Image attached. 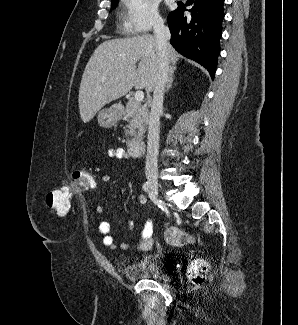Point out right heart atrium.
<instances>
[{
	"mask_svg": "<svg viewBox=\"0 0 298 325\" xmlns=\"http://www.w3.org/2000/svg\"><path fill=\"white\" fill-rule=\"evenodd\" d=\"M126 32L129 37H140V30H157L160 26L158 4L155 0H127Z\"/></svg>",
	"mask_w": 298,
	"mask_h": 325,
	"instance_id": "1",
	"label": "right heart atrium"
}]
</instances>
